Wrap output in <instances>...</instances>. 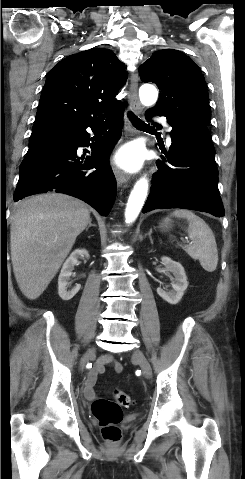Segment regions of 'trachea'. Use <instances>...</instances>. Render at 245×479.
Returning a JSON list of instances; mask_svg holds the SVG:
<instances>
[{
    "instance_id": "obj_1",
    "label": "trachea",
    "mask_w": 245,
    "mask_h": 479,
    "mask_svg": "<svg viewBox=\"0 0 245 479\" xmlns=\"http://www.w3.org/2000/svg\"><path fill=\"white\" fill-rule=\"evenodd\" d=\"M128 117L136 128H139V129H149V128H151L149 125H147L145 122H143L141 119H139L132 112L128 113Z\"/></svg>"
}]
</instances>
